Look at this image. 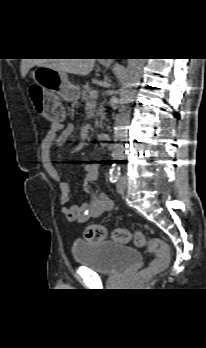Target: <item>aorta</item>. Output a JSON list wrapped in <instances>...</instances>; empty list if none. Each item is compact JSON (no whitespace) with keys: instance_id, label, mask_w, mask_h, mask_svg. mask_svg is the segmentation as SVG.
<instances>
[{"instance_id":"obj_1","label":"aorta","mask_w":206,"mask_h":348,"mask_svg":"<svg viewBox=\"0 0 206 348\" xmlns=\"http://www.w3.org/2000/svg\"><path fill=\"white\" fill-rule=\"evenodd\" d=\"M146 59H128L127 68L120 89V106L115 121L113 156L121 158L124 156V141L130 121V103L136 96V88L140 84L142 70Z\"/></svg>"}]
</instances>
